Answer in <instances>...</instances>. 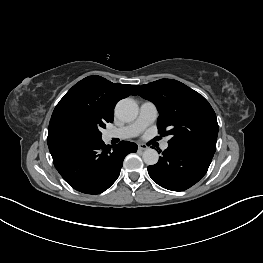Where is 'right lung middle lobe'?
<instances>
[{"mask_svg": "<svg viewBox=\"0 0 263 263\" xmlns=\"http://www.w3.org/2000/svg\"><path fill=\"white\" fill-rule=\"evenodd\" d=\"M109 122L98 114L77 112L65 117L62 121V134L75 144L101 140V128Z\"/></svg>", "mask_w": 263, "mask_h": 263, "instance_id": "right-lung-middle-lobe-1", "label": "right lung middle lobe"}]
</instances>
